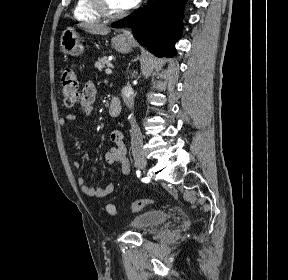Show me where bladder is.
Returning <instances> with one entry per match:
<instances>
[{"label":"bladder","mask_w":288,"mask_h":280,"mask_svg":"<svg viewBox=\"0 0 288 280\" xmlns=\"http://www.w3.org/2000/svg\"><path fill=\"white\" fill-rule=\"evenodd\" d=\"M168 218L169 214L163 210H148L134 217L130 227L136 230H150L162 225Z\"/></svg>","instance_id":"1"}]
</instances>
